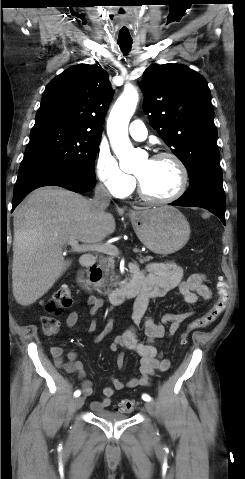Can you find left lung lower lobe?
I'll return each mask as SVG.
<instances>
[{"label": "left lung lower lobe", "mask_w": 245, "mask_h": 479, "mask_svg": "<svg viewBox=\"0 0 245 479\" xmlns=\"http://www.w3.org/2000/svg\"><path fill=\"white\" fill-rule=\"evenodd\" d=\"M170 205L207 209L225 225L226 202L221 169H210L198 175L190 182L187 192Z\"/></svg>", "instance_id": "left-lung-lower-lobe-1"}]
</instances>
